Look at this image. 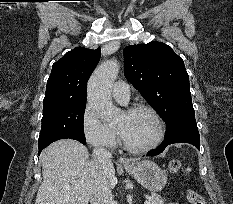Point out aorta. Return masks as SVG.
Instances as JSON below:
<instances>
[{
    "mask_svg": "<svg viewBox=\"0 0 233 204\" xmlns=\"http://www.w3.org/2000/svg\"><path fill=\"white\" fill-rule=\"evenodd\" d=\"M119 68L117 61L108 60L95 69L88 82V102L98 116L108 123L118 119L121 112L111 99V88Z\"/></svg>",
    "mask_w": 233,
    "mask_h": 204,
    "instance_id": "1",
    "label": "aorta"
}]
</instances>
